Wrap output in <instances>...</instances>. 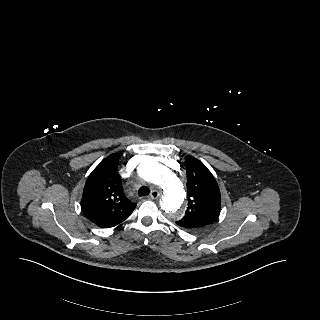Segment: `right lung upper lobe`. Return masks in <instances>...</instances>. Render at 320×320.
I'll return each instance as SVG.
<instances>
[{"label":"right lung upper lobe","instance_id":"obj_1","mask_svg":"<svg viewBox=\"0 0 320 320\" xmlns=\"http://www.w3.org/2000/svg\"><path fill=\"white\" fill-rule=\"evenodd\" d=\"M119 154H111L89 175L81 208L91 222L102 228L114 227L127 219L136 207L124 195L117 171Z\"/></svg>","mask_w":320,"mask_h":320}]
</instances>
